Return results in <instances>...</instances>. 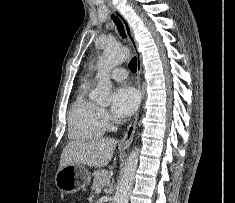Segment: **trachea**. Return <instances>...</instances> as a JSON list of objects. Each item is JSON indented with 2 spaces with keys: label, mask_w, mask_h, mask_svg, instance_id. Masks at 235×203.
<instances>
[{
  "label": "trachea",
  "mask_w": 235,
  "mask_h": 203,
  "mask_svg": "<svg viewBox=\"0 0 235 203\" xmlns=\"http://www.w3.org/2000/svg\"><path fill=\"white\" fill-rule=\"evenodd\" d=\"M112 19L114 20L117 28H118V31L120 32V34L126 38V34H125V31H124V28H123V24L122 22L114 15H112ZM136 68H137V59L136 57L132 58V60L129 62V69L132 71V72H136Z\"/></svg>",
  "instance_id": "trachea-1"
}]
</instances>
